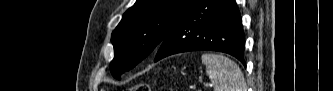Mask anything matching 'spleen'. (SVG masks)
Returning <instances> with one entry per match:
<instances>
[{"label": "spleen", "instance_id": "1", "mask_svg": "<svg viewBox=\"0 0 333 91\" xmlns=\"http://www.w3.org/2000/svg\"><path fill=\"white\" fill-rule=\"evenodd\" d=\"M215 91H246L244 75L230 58L213 53L201 56Z\"/></svg>", "mask_w": 333, "mask_h": 91}]
</instances>
